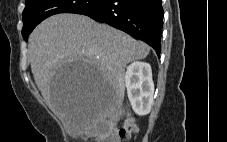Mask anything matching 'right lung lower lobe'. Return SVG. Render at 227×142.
<instances>
[{
    "label": "right lung lower lobe",
    "instance_id": "98d812e1",
    "mask_svg": "<svg viewBox=\"0 0 227 142\" xmlns=\"http://www.w3.org/2000/svg\"><path fill=\"white\" fill-rule=\"evenodd\" d=\"M78 14L118 28L146 42L160 55L163 27L161 0H106L102 5Z\"/></svg>",
    "mask_w": 227,
    "mask_h": 142
}]
</instances>
